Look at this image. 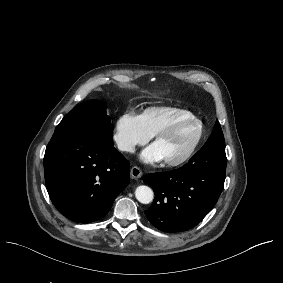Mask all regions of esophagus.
<instances>
[{"label": "esophagus", "instance_id": "34e87169", "mask_svg": "<svg viewBox=\"0 0 283 283\" xmlns=\"http://www.w3.org/2000/svg\"><path fill=\"white\" fill-rule=\"evenodd\" d=\"M130 174H131V177L133 179H138V178H140L142 176V171L140 170L139 167L133 166L131 168Z\"/></svg>", "mask_w": 283, "mask_h": 283}]
</instances>
